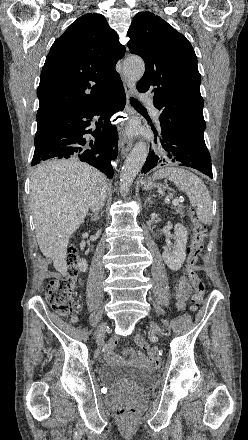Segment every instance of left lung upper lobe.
<instances>
[{
	"label": "left lung upper lobe",
	"instance_id": "1",
	"mask_svg": "<svg viewBox=\"0 0 248 440\" xmlns=\"http://www.w3.org/2000/svg\"><path fill=\"white\" fill-rule=\"evenodd\" d=\"M131 53L146 64L137 83L140 92L152 91L160 123L177 126L204 138L203 98L197 58L190 42L151 12L138 13L127 33Z\"/></svg>",
	"mask_w": 248,
	"mask_h": 440
}]
</instances>
